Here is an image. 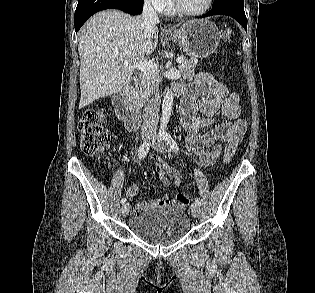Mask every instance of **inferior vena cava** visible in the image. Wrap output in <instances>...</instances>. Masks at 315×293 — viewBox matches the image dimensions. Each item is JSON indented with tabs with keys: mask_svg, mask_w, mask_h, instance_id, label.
Returning a JSON list of instances; mask_svg holds the SVG:
<instances>
[{
	"mask_svg": "<svg viewBox=\"0 0 315 293\" xmlns=\"http://www.w3.org/2000/svg\"><path fill=\"white\" fill-rule=\"evenodd\" d=\"M142 27L144 29L145 35L149 36L150 32L154 30L159 23V17L150 0H145L143 13H142ZM160 80L150 79L147 83L148 86V96L150 99L147 101L145 107V113L143 116V124L141 127L142 134H150L155 136L158 125V113L160 108V95L158 92Z\"/></svg>",
	"mask_w": 315,
	"mask_h": 293,
	"instance_id": "602c4592",
	"label": "inferior vena cava"
}]
</instances>
